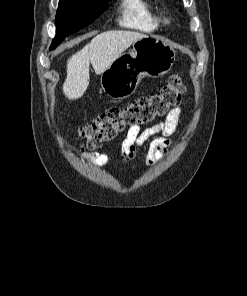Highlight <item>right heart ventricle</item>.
Masks as SVG:
<instances>
[{
	"label": "right heart ventricle",
	"instance_id": "e07e8e85",
	"mask_svg": "<svg viewBox=\"0 0 247 296\" xmlns=\"http://www.w3.org/2000/svg\"><path fill=\"white\" fill-rule=\"evenodd\" d=\"M121 10L123 27L152 32L160 26L161 19L149 0H122Z\"/></svg>",
	"mask_w": 247,
	"mask_h": 296
}]
</instances>
